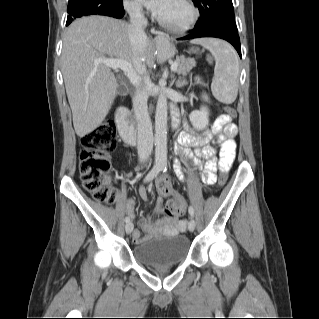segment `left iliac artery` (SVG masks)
Returning a JSON list of instances; mask_svg holds the SVG:
<instances>
[{"label": "left iliac artery", "instance_id": "1", "mask_svg": "<svg viewBox=\"0 0 319 319\" xmlns=\"http://www.w3.org/2000/svg\"><path fill=\"white\" fill-rule=\"evenodd\" d=\"M161 170H162L163 172H166V171H167V165H166V163H163V164L161 165ZM188 212H189V214H190L191 217L194 216V209H193L192 206H189Z\"/></svg>", "mask_w": 319, "mask_h": 319}]
</instances>
